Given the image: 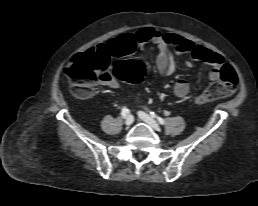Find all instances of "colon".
I'll return each instance as SVG.
<instances>
[{"mask_svg":"<svg viewBox=\"0 0 258 206\" xmlns=\"http://www.w3.org/2000/svg\"><path fill=\"white\" fill-rule=\"evenodd\" d=\"M65 72L70 81L71 91L78 98L88 97L96 83L107 80L112 75L134 84L142 82L145 75L144 66L140 61H119L111 69L109 55L92 48L75 55L66 66ZM237 86V73L230 65H224L219 80L197 96L195 102L204 104L227 97L235 92Z\"/></svg>","mask_w":258,"mask_h":206,"instance_id":"obj_1","label":"colon"}]
</instances>
